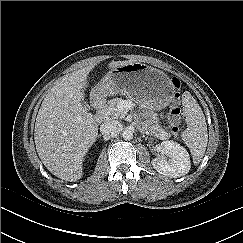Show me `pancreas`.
Here are the masks:
<instances>
[{"label":"pancreas","instance_id":"obj_1","mask_svg":"<svg viewBox=\"0 0 243 243\" xmlns=\"http://www.w3.org/2000/svg\"><path fill=\"white\" fill-rule=\"evenodd\" d=\"M125 101L127 100H123L122 98L111 99L104 110L105 114L112 119L124 118L126 116V111L121 110L119 105ZM149 131L152 135L160 139H168L171 136L170 133L166 132L158 124L150 126Z\"/></svg>","mask_w":243,"mask_h":243}]
</instances>
